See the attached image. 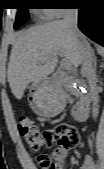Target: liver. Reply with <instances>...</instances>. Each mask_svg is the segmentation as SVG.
Listing matches in <instances>:
<instances>
[{
	"label": "liver",
	"mask_w": 104,
	"mask_h": 169,
	"mask_svg": "<svg viewBox=\"0 0 104 169\" xmlns=\"http://www.w3.org/2000/svg\"><path fill=\"white\" fill-rule=\"evenodd\" d=\"M58 55H63L75 67L81 64L79 44L63 20L31 27L20 33L13 41L7 70L13 95L21 99L30 84V89H33L53 73Z\"/></svg>",
	"instance_id": "1"
}]
</instances>
